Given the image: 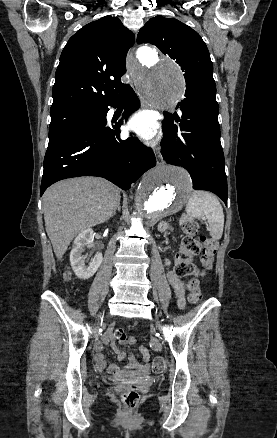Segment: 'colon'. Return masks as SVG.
<instances>
[{
	"label": "colon",
	"mask_w": 277,
	"mask_h": 438,
	"mask_svg": "<svg viewBox=\"0 0 277 438\" xmlns=\"http://www.w3.org/2000/svg\"><path fill=\"white\" fill-rule=\"evenodd\" d=\"M181 230L183 237L176 256L175 271L180 278L191 277L187 283L189 300L197 303L202 299L199 279L192 277L199 272V269L193 262V259L200 255L202 273H205L212 267L213 258L216 251L215 241L211 237L199 235V224L188 219L181 220ZM114 335L121 343L127 342L133 344L134 340L126 336L122 328H116ZM165 361L158 356L153 361V370L155 373L163 372ZM117 397L122 399L124 409L140 408V390L139 389H118Z\"/></svg>",
	"instance_id": "colon-1"
}]
</instances>
